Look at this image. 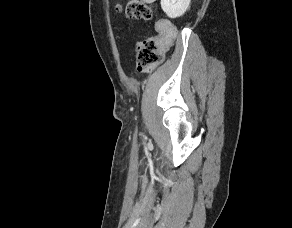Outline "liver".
Here are the masks:
<instances>
[{
  "mask_svg": "<svg viewBox=\"0 0 292 228\" xmlns=\"http://www.w3.org/2000/svg\"><path fill=\"white\" fill-rule=\"evenodd\" d=\"M141 1L144 3L151 4V3L155 2L156 0H141Z\"/></svg>",
  "mask_w": 292,
  "mask_h": 228,
  "instance_id": "6515ba94",
  "label": "liver"
}]
</instances>
